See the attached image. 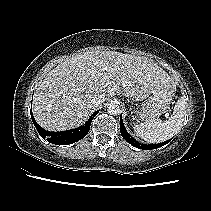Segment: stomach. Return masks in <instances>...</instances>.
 Masks as SVG:
<instances>
[{"label": "stomach", "instance_id": "obj_1", "mask_svg": "<svg viewBox=\"0 0 211 211\" xmlns=\"http://www.w3.org/2000/svg\"><path fill=\"white\" fill-rule=\"evenodd\" d=\"M176 87L173 83L161 87L150 93H136L130 96L133 101L145 100L135 113L136 119L148 121L159 117L169 107L175 96Z\"/></svg>", "mask_w": 211, "mask_h": 211}]
</instances>
